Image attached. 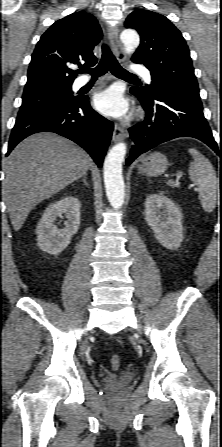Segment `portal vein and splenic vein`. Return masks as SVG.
<instances>
[{
    "instance_id": "portal-vein-and-splenic-vein-1",
    "label": "portal vein and splenic vein",
    "mask_w": 222,
    "mask_h": 447,
    "mask_svg": "<svg viewBox=\"0 0 222 447\" xmlns=\"http://www.w3.org/2000/svg\"><path fill=\"white\" fill-rule=\"evenodd\" d=\"M178 178H181L182 177V175L181 174H179L178 176H177ZM192 186H196L195 184H192Z\"/></svg>"
}]
</instances>
